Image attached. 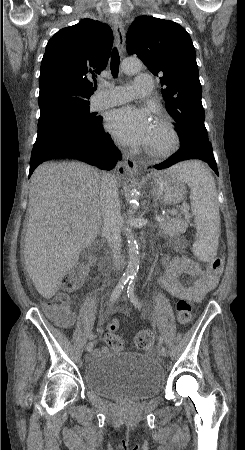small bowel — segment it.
<instances>
[{"label":"small bowel","mask_w":245,"mask_h":450,"mask_svg":"<svg viewBox=\"0 0 245 450\" xmlns=\"http://www.w3.org/2000/svg\"><path fill=\"white\" fill-rule=\"evenodd\" d=\"M185 275L193 276L195 280L191 284H186L182 280ZM159 283L174 298L198 302L218 284V274L200 269L191 259L171 256L168 257V264L159 278ZM109 352L110 348L103 346L96 349L95 354L101 355Z\"/></svg>","instance_id":"small-bowel-1"}]
</instances>
